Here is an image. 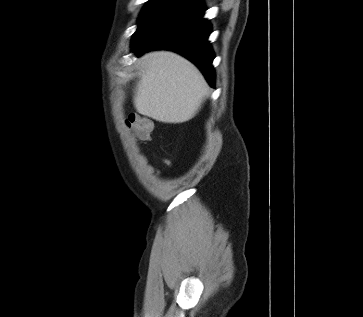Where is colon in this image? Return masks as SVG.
<instances>
[{
    "instance_id": "obj_1",
    "label": "colon",
    "mask_w": 363,
    "mask_h": 317,
    "mask_svg": "<svg viewBox=\"0 0 363 317\" xmlns=\"http://www.w3.org/2000/svg\"><path fill=\"white\" fill-rule=\"evenodd\" d=\"M126 125L134 131L138 138L146 139L152 129L153 123L148 117L131 113L126 119Z\"/></svg>"
}]
</instances>
